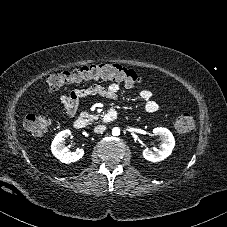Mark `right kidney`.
Masks as SVG:
<instances>
[{
    "instance_id": "1",
    "label": "right kidney",
    "mask_w": 227,
    "mask_h": 227,
    "mask_svg": "<svg viewBox=\"0 0 227 227\" xmlns=\"http://www.w3.org/2000/svg\"><path fill=\"white\" fill-rule=\"evenodd\" d=\"M71 136L70 130H64L59 132L51 144L52 154L59 159L62 163L70 164L81 159L84 155L83 149H77L75 152H70L65 147V140Z\"/></svg>"
}]
</instances>
